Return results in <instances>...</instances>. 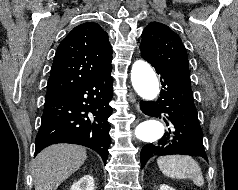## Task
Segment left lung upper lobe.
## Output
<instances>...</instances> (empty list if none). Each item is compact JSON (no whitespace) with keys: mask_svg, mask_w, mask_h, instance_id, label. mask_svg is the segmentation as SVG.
<instances>
[{"mask_svg":"<svg viewBox=\"0 0 238 190\" xmlns=\"http://www.w3.org/2000/svg\"><path fill=\"white\" fill-rule=\"evenodd\" d=\"M141 56L150 64L189 73L186 49L167 25L150 23L142 33Z\"/></svg>","mask_w":238,"mask_h":190,"instance_id":"5c2ea615","label":"left lung upper lobe"}]
</instances>
